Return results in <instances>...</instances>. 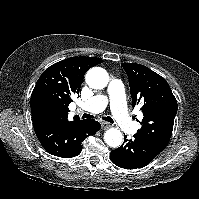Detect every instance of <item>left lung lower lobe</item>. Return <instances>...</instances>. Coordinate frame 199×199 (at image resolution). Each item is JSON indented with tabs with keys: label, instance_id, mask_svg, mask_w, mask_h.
Masks as SVG:
<instances>
[{
	"label": "left lung lower lobe",
	"instance_id": "left-lung-lower-lobe-1",
	"mask_svg": "<svg viewBox=\"0 0 199 199\" xmlns=\"http://www.w3.org/2000/svg\"><path fill=\"white\" fill-rule=\"evenodd\" d=\"M155 144L134 135L133 140L124 139V143L111 151L112 162L124 169H137L148 165L161 151Z\"/></svg>",
	"mask_w": 199,
	"mask_h": 199
}]
</instances>
